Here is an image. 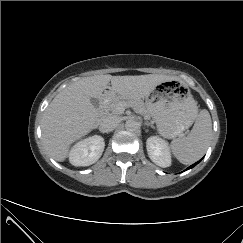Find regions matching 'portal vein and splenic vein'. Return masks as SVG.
Returning a JSON list of instances; mask_svg holds the SVG:
<instances>
[{
    "mask_svg": "<svg viewBox=\"0 0 243 243\" xmlns=\"http://www.w3.org/2000/svg\"><path fill=\"white\" fill-rule=\"evenodd\" d=\"M126 106L124 104H120L119 107H118V110L123 113L124 110H125Z\"/></svg>",
    "mask_w": 243,
    "mask_h": 243,
    "instance_id": "portal-vein-and-splenic-vein-1",
    "label": "portal vein and splenic vein"
}]
</instances>
